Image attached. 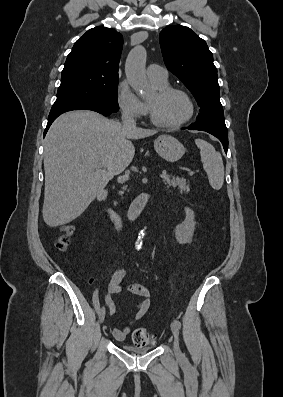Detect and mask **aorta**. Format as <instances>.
I'll use <instances>...</instances> for the list:
<instances>
[{
	"instance_id": "762f6f07",
	"label": "aorta",
	"mask_w": 283,
	"mask_h": 397,
	"mask_svg": "<svg viewBox=\"0 0 283 397\" xmlns=\"http://www.w3.org/2000/svg\"><path fill=\"white\" fill-rule=\"evenodd\" d=\"M146 56V50L142 46H136L129 53L125 64L127 80L132 89L141 96L146 95L150 90V85L148 84L145 74ZM144 236L145 233L140 231L135 243L137 249L142 247Z\"/></svg>"
}]
</instances>
